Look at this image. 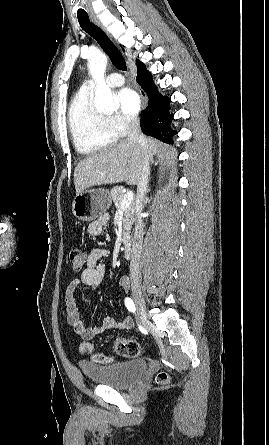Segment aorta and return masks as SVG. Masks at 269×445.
Masks as SVG:
<instances>
[{
	"mask_svg": "<svg viewBox=\"0 0 269 445\" xmlns=\"http://www.w3.org/2000/svg\"><path fill=\"white\" fill-rule=\"evenodd\" d=\"M107 66V57L102 54H92L88 60V69L96 82V92L94 106L101 112H113L118 109L117 98L112 94L110 88L105 82V70Z\"/></svg>",
	"mask_w": 269,
	"mask_h": 445,
	"instance_id": "obj_1",
	"label": "aorta"
}]
</instances>
